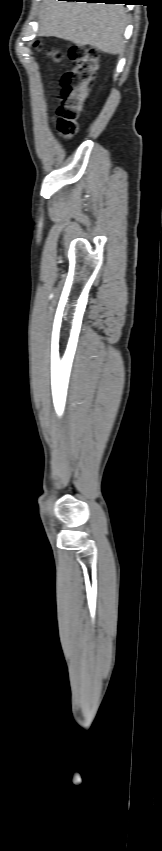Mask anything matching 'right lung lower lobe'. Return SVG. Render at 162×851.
Masks as SVG:
<instances>
[{"mask_svg": "<svg viewBox=\"0 0 162 851\" xmlns=\"http://www.w3.org/2000/svg\"><path fill=\"white\" fill-rule=\"evenodd\" d=\"M67 1H86V2H97V3L103 2V3H107V4H118V3L128 4V2L131 1V0H67Z\"/></svg>", "mask_w": 162, "mask_h": 851, "instance_id": "right-lung-lower-lobe-1", "label": "right lung lower lobe"}]
</instances>
